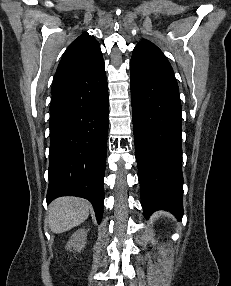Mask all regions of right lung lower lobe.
Segmentation results:
<instances>
[{"label": "right lung lower lobe", "instance_id": "98d812e1", "mask_svg": "<svg viewBox=\"0 0 231 286\" xmlns=\"http://www.w3.org/2000/svg\"><path fill=\"white\" fill-rule=\"evenodd\" d=\"M105 70L52 94L47 203L60 196L88 199L100 223L108 133Z\"/></svg>", "mask_w": 231, "mask_h": 286}]
</instances>
